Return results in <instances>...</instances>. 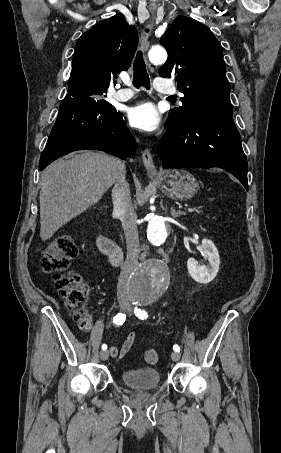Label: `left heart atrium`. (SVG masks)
<instances>
[{"label": "left heart atrium", "instance_id": "39dd6f15", "mask_svg": "<svg viewBox=\"0 0 281 453\" xmlns=\"http://www.w3.org/2000/svg\"><path fill=\"white\" fill-rule=\"evenodd\" d=\"M128 121L139 130L151 132L159 127L161 116L152 103L144 102L129 109Z\"/></svg>", "mask_w": 281, "mask_h": 453}]
</instances>
